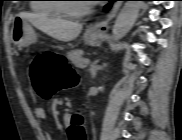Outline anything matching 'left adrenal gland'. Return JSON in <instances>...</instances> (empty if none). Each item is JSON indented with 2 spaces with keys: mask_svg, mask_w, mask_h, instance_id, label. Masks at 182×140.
<instances>
[{
  "mask_svg": "<svg viewBox=\"0 0 182 140\" xmlns=\"http://www.w3.org/2000/svg\"><path fill=\"white\" fill-rule=\"evenodd\" d=\"M98 60L97 61H95L94 63H92L91 65H90V67H89V72H90V74H91V77L94 79L95 77H96V74H97V72L99 71V70H102V69H104L106 66H107V64H103L102 66H99V65H97L98 64Z\"/></svg>",
  "mask_w": 182,
  "mask_h": 140,
  "instance_id": "left-adrenal-gland-1",
  "label": "left adrenal gland"
}]
</instances>
